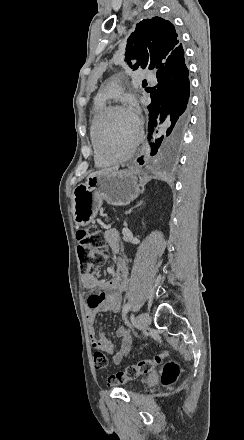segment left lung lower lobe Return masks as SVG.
Returning a JSON list of instances; mask_svg holds the SVG:
<instances>
[{
    "label": "left lung lower lobe",
    "mask_w": 244,
    "mask_h": 440,
    "mask_svg": "<svg viewBox=\"0 0 244 440\" xmlns=\"http://www.w3.org/2000/svg\"><path fill=\"white\" fill-rule=\"evenodd\" d=\"M156 76L158 83L150 91L152 102L148 106L149 132H156L163 125L166 135L151 146V155L157 153L162 143L160 153L168 156L181 147L189 124L190 86L185 59L160 67Z\"/></svg>",
    "instance_id": "obj_1"
}]
</instances>
